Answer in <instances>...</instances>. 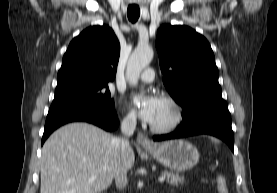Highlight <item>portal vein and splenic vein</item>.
<instances>
[{"label": "portal vein and splenic vein", "mask_w": 277, "mask_h": 193, "mask_svg": "<svg viewBox=\"0 0 277 193\" xmlns=\"http://www.w3.org/2000/svg\"><path fill=\"white\" fill-rule=\"evenodd\" d=\"M158 180H159V182H164L165 181V177L164 176H160Z\"/></svg>", "instance_id": "1"}]
</instances>
